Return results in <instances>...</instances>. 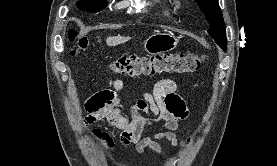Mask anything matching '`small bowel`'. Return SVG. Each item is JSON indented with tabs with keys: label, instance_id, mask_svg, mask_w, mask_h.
Listing matches in <instances>:
<instances>
[{
	"label": "small bowel",
	"instance_id": "small-bowel-1",
	"mask_svg": "<svg viewBox=\"0 0 277 166\" xmlns=\"http://www.w3.org/2000/svg\"><path fill=\"white\" fill-rule=\"evenodd\" d=\"M110 88L92 95L85 103L87 116L86 124L99 120H106L112 127L120 131V139L126 147L133 145L136 151L144 155L147 150L161 157L162 151L159 141H168L175 149L182 147L185 141L179 139L175 130L179 122L188 116L186 105L176 93V83L171 79L158 81L151 93L145 92L142 98L130 106L129 115L119 110L118 93L124 90L121 80H110ZM147 126H160L162 132L143 137ZM96 135L102 141L106 152L113 149V139L105 132L97 131ZM174 155L163 159L173 161Z\"/></svg>",
	"mask_w": 277,
	"mask_h": 166
}]
</instances>
